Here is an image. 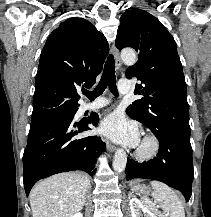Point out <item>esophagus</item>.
Instances as JSON below:
<instances>
[{"label": "esophagus", "instance_id": "esophagus-1", "mask_svg": "<svg viewBox=\"0 0 211 217\" xmlns=\"http://www.w3.org/2000/svg\"><path fill=\"white\" fill-rule=\"evenodd\" d=\"M111 51L114 55L115 61H116V66L119 68L121 66V60L119 56V51L116 48L115 44L113 43L111 46ZM106 147L109 152H114L116 150V147L107 139H105Z\"/></svg>", "mask_w": 211, "mask_h": 217}]
</instances>
